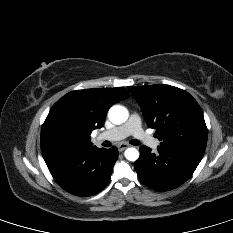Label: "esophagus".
<instances>
[{"label": "esophagus", "instance_id": "esophagus-1", "mask_svg": "<svg viewBox=\"0 0 233 233\" xmlns=\"http://www.w3.org/2000/svg\"><path fill=\"white\" fill-rule=\"evenodd\" d=\"M128 144H126V143H121V144H119L118 145V150L120 151V152H122V151H124L126 148H128Z\"/></svg>", "mask_w": 233, "mask_h": 233}]
</instances>
